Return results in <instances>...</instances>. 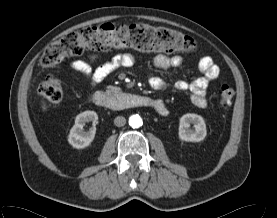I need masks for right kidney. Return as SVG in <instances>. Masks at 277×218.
I'll return each mask as SVG.
<instances>
[{
    "mask_svg": "<svg viewBox=\"0 0 277 218\" xmlns=\"http://www.w3.org/2000/svg\"><path fill=\"white\" fill-rule=\"evenodd\" d=\"M97 120L98 115L95 111L87 110L78 114L75 119V124L70 130L68 142L77 149H82L89 146L95 137V123ZM91 121L93 122L94 126L89 131H85V124Z\"/></svg>",
    "mask_w": 277,
    "mask_h": 218,
    "instance_id": "1",
    "label": "right kidney"
}]
</instances>
